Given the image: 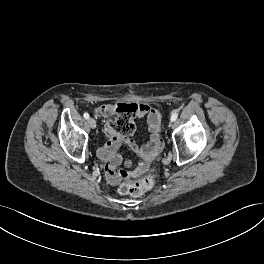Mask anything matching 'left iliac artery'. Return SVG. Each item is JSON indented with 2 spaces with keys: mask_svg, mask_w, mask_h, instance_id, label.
Here are the masks:
<instances>
[{
  "mask_svg": "<svg viewBox=\"0 0 264 264\" xmlns=\"http://www.w3.org/2000/svg\"><path fill=\"white\" fill-rule=\"evenodd\" d=\"M178 117V113L176 111H174L171 115V121H175Z\"/></svg>",
  "mask_w": 264,
  "mask_h": 264,
  "instance_id": "left-iliac-artery-1",
  "label": "left iliac artery"
}]
</instances>
